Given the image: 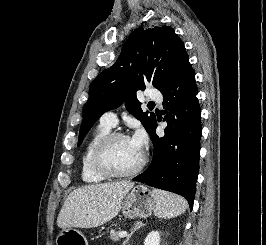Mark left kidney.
Segmentation results:
<instances>
[{"instance_id": "obj_1", "label": "left kidney", "mask_w": 266, "mask_h": 245, "mask_svg": "<svg viewBox=\"0 0 266 245\" xmlns=\"http://www.w3.org/2000/svg\"><path fill=\"white\" fill-rule=\"evenodd\" d=\"M144 245H160V233H158V231H151V233L147 235Z\"/></svg>"}]
</instances>
